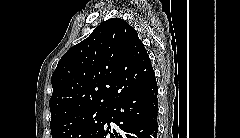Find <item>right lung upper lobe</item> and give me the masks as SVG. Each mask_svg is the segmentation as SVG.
<instances>
[{
	"label": "right lung upper lobe",
	"mask_w": 240,
	"mask_h": 138,
	"mask_svg": "<svg viewBox=\"0 0 240 138\" xmlns=\"http://www.w3.org/2000/svg\"><path fill=\"white\" fill-rule=\"evenodd\" d=\"M153 75L136 30L123 19H108L60 59L51 78L50 124L90 108H108Z\"/></svg>",
	"instance_id": "obj_1"
}]
</instances>
